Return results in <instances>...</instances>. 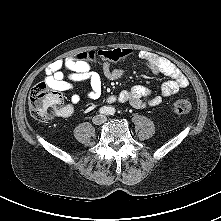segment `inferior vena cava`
I'll use <instances>...</instances> for the list:
<instances>
[{
  "instance_id": "1",
  "label": "inferior vena cava",
  "mask_w": 221,
  "mask_h": 221,
  "mask_svg": "<svg viewBox=\"0 0 221 221\" xmlns=\"http://www.w3.org/2000/svg\"><path fill=\"white\" fill-rule=\"evenodd\" d=\"M106 121H107L106 116H105V115H102V114L96 115V116L93 118V122H94L95 124H102V123H104V122H106Z\"/></svg>"
}]
</instances>
